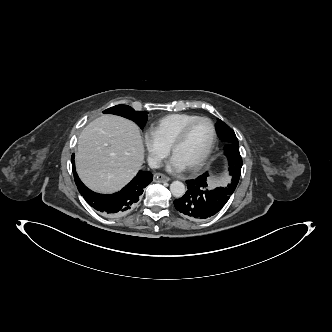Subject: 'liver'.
Listing matches in <instances>:
<instances>
[{
	"mask_svg": "<svg viewBox=\"0 0 332 332\" xmlns=\"http://www.w3.org/2000/svg\"><path fill=\"white\" fill-rule=\"evenodd\" d=\"M143 160L140 131L123 117L100 116L90 122L78 138L77 173L93 191L120 190L135 176Z\"/></svg>",
	"mask_w": 332,
	"mask_h": 332,
	"instance_id": "obj_1",
	"label": "liver"
}]
</instances>
